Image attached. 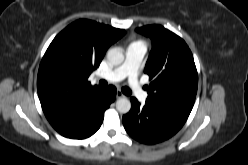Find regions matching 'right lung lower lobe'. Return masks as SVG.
<instances>
[{
	"instance_id": "1",
	"label": "right lung lower lobe",
	"mask_w": 248,
	"mask_h": 165,
	"mask_svg": "<svg viewBox=\"0 0 248 165\" xmlns=\"http://www.w3.org/2000/svg\"><path fill=\"white\" fill-rule=\"evenodd\" d=\"M116 91V88L110 85L77 110L49 122L64 137L72 139L90 137L100 128L104 112L115 100Z\"/></svg>"
}]
</instances>
